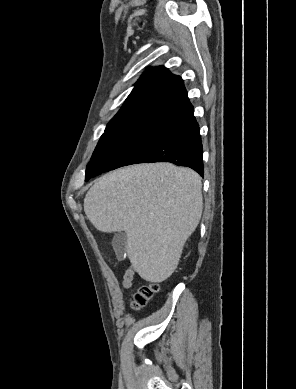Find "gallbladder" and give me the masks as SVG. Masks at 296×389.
<instances>
[{
  "label": "gallbladder",
  "instance_id": "gallbladder-1",
  "mask_svg": "<svg viewBox=\"0 0 296 389\" xmlns=\"http://www.w3.org/2000/svg\"><path fill=\"white\" fill-rule=\"evenodd\" d=\"M112 246L115 250L117 257L123 258L127 251V237L126 233L123 231L115 233Z\"/></svg>",
  "mask_w": 296,
  "mask_h": 389
}]
</instances>
